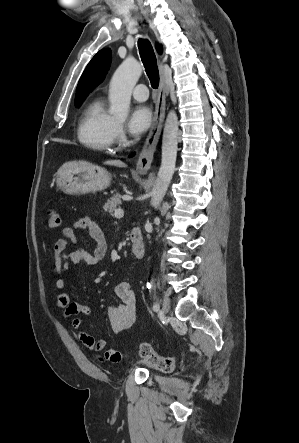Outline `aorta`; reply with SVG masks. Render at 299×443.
I'll use <instances>...</instances> for the list:
<instances>
[{"label": "aorta", "mask_w": 299, "mask_h": 443, "mask_svg": "<svg viewBox=\"0 0 299 443\" xmlns=\"http://www.w3.org/2000/svg\"><path fill=\"white\" fill-rule=\"evenodd\" d=\"M142 74V65L133 57L126 58L115 71L109 87L110 114L125 120L129 114L131 94ZM179 123L174 110L166 118L162 138L161 166L151 194V205L158 209L172 180L178 150Z\"/></svg>", "instance_id": "aorta-1"}]
</instances>
